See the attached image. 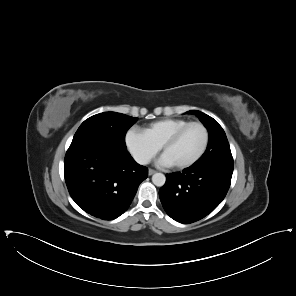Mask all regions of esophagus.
Segmentation results:
<instances>
[{"label": "esophagus", "mask_w": 296, "mask_h": 296, "mask_svg": "<svg viewBox=\"0 0 296 296\" xmlns=\"http://www.w3.org/2000/svg\"><path fill=\"white\" fill-rule=\"evenodd\" d=\"M156 171L154 169H149L148 170V174L151 176L155 173Z\"/></svg>", "instance_id": "1"}]
</instances>
